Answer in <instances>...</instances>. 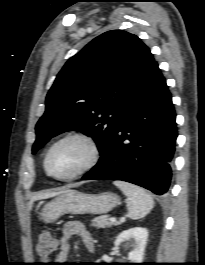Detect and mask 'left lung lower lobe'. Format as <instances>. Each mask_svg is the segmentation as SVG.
Instances as JSON below:
<instances>
[{"label": "left lung lower lobe", "mask_w": 205, "mask_h": 265, "mask_svg": "<svg viewBox=\"0 0 205 265\" xmlns=\"http://www.w3.org/2000/svg\"><path fill=\"white\" fill-rule=\"evenodd\" d=\"M171 94L158 64L121 113L99 162L82 180L112 179L169 191L177 128Z\"/></svg>", "instance_id": "left-lung-lower-lobe-1"}]
</instances>
